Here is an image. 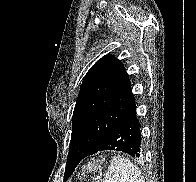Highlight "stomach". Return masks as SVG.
I'll return each mask as SVG.
<instances>
[{"label":"stomach","mask_w":196,"mask_h":182,"mask_svg":"<svg viewBox=\"0 0 196 182\" xmlns=\"http://www.w3.org/2000/svg\"><path fill=\"white\" fill-rule=\"evenodd\" d=\"M99 167H100V165L97 161V162L89 163L87 165L86 169H87V171L91 172V171H96Z\"/></svg>","instance_id":"obj_1"}]
</instances>
